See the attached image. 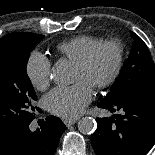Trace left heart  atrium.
Here are the masks:
<instances>
[{
  "instance_id": "39dd6f15",
  "label": "left heart atrium",
  "mask_w": 155,
  "mask_h": 155,
  "mask_svg": "<svg viewBox=\"0 0 155 155\" xmlns=\"http://www.w3.org/2000/svg\"><path fill=\"white\" fill-rule=\"evenodd\" d=\"M47 109L65 119L78 117L92 100L91 87L78 81L69 87H57L44 98Z\"/></svg>"
}]
</instances>
